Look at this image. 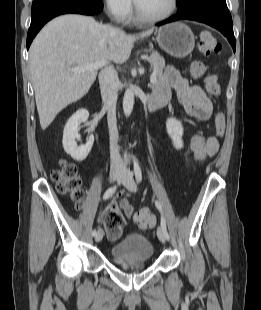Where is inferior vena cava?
Returning <instances> with one entry per match:
<instances>
[{"label":"inferior vena cava","instance_id":"602c4592","mask_svg":"<svg viewBox=\"0 0 261 310\" xmlns=\"http://www.w3.org/2000/svg\"><path fill=\"white\" fill-rule=\"evenodd\" d=\"M102 101L107 110V121L110 135V159L112 167L121 166L118 146V129L116 121V103L118 98L119 79L113 65L104 67L99 73Z\"/></svg>","mask_w":261,"mask_h":310}]
</instances>
